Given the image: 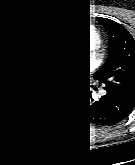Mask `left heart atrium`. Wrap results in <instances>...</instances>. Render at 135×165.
<instances>
[{"instance_id":"obj_1","label":"left heart atrium","mask_w":135,"mask_h":165,"mask_svg":"<svg viewBox=\"0 0 135 165\" xmlns=\"http://www.w3.org/2000/svg\"><path fill=\"white\" fill-rule=\"evenodd\" d=\"M78 69V66H70V67H68V72H70V73H73V72H75L76 70Z\"/></svg>"}]
</instances>
